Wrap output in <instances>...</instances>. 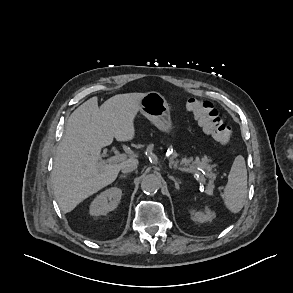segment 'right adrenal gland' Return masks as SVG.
<instances>
[{"instance_id": "1", "label": "right adrenal gland", "mask_w": 293, "mask_h": 293, "mask_svg": "<svg viewBox=\"0 0 293 293\" xmlns=\"http://www.w3.org/2000/svg\"><path fill=\"white\" fill-rule=\"evenodd\" d=\"M127 175H121L119 178H126Z\"/></svg>"}]
</instances>
